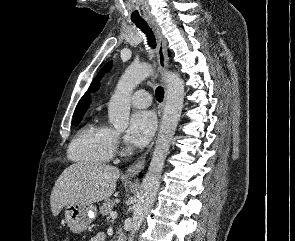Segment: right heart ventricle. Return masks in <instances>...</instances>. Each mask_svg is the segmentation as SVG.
<instances>
[{
    "instance_id": "right-heart-ventricle-1",
    "label": "right heart ventricle",
    "mask_w": 295,
    "mask_h": 241,
    "mask_svg": "<svg viewBox=\"0 0 295 241\" xmlns=\"http://www.w3.org/2000/svg\"><path fill=\"white\" fill-rule=\"evenodd\" d=\"M115 131L107 125L90 122L72 140L68 156L81 164L98 165L109 162L115 153Z\"/></svg>"
}]
</instances>
